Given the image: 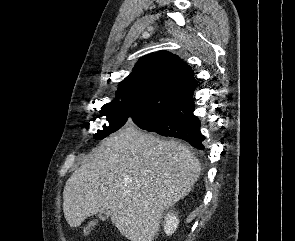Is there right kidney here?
I'll list each match as a JSON object with an SVG mask.
<instances>
[{
    "label": "right kidney",
    "mask_w": 295,
    "mask_h": 241,
    "mask_svg": "<svg viewBox=\"0 0 295 241\" xmlns=\"http://www.w3.org/2000/svg\"><path fill=\"white\" fill-rule=\"evenodd\" d=\"M179 220L177 216L173 213H168L165 217V224H164V230L167 235H171L174 233L176 228L178 227Z\"/></svg>",
    "instance_id": "ca27d5eb"
}]
</instances>
